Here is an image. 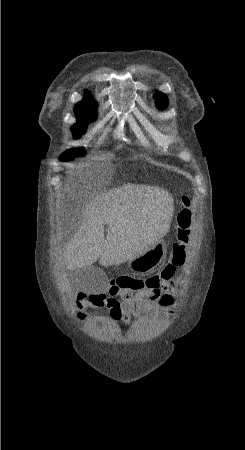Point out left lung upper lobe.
I'll list each match as a JSON object with an SVG mask.
<instances>
[{"label": "left lung upper lobe", "instance_id": "obj_1", "mask_svg": "<svg viewBox=\"0 0 245 450\" xmlns=\"http://www.w3.org/2000/svg\"><path fill=\"white\" fill-rule=\"evenodd\" d=\"M154 98L156 99V107L158 109H164L167 107L168 99L165 94H163L162 92H156Z\"/></svg>", "mask_w": 245, "mask_h": 450}]
</instances>
